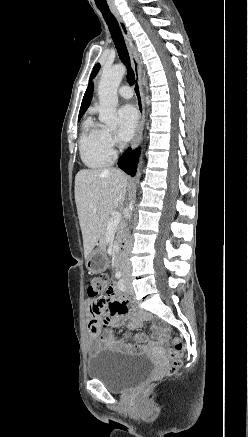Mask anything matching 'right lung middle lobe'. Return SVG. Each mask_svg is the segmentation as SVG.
<instances>
[{"instance_id":"dd1d6c3e","label":"right lung middle lobe","mask_w":248,"mask_h":437,"mask_svg":"<svg viewBox=\"0 0 248 437\" xmlns=\"http://www.w3.org/2000/svg\"><path fill=\"white\" fill-rule=\"evenodd\" d=\"M81 117H82V116L80 115V116H79V120H80Z\"/></svg>"}]
</instances>
